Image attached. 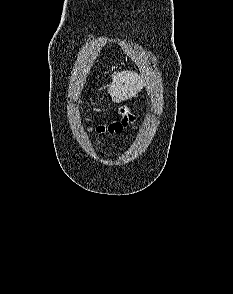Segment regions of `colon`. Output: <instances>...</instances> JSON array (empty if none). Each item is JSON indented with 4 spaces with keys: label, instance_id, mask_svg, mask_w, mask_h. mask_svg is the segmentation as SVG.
Masks as SVG:
<instances>
[{
    "label": "colon",
    "instance_id": "colon-1",
    "mask_svg": "<svg viewBox=\"0 0 233 294\" xmlns=\"http://www.w3.org/2000/svg\"><path fill=\"white\" fill-rule=\"evenodd\" d=\"M133 117L131 115H126L121 122H115L110 125L109 130L111 132H118L122 129L123 126L127 125L129 121H132ZM104 129V128H102Z\"/></svg>",
    "mask_w": 233,
    "mask_h": 294
}]
</instances>
